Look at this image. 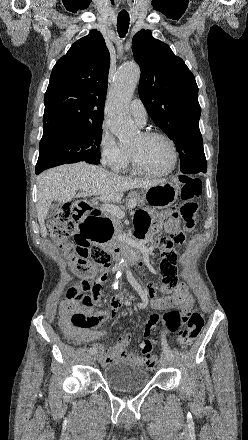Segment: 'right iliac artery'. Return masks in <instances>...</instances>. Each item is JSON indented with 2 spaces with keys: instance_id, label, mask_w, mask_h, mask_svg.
I'll return each instance as SVG.
<instances>
[{
  "instance_id": "1",
  "label": "right iliac artery",
  "mask_w": 248,
  "mask_h": 440,
  "mask_svg": "<svg viewBox=\"0 0 248 440\" xmlns=\"http://www.w3.org/2000/svg\"><path fill=\"white\" fill-rule=\"evenodd\" d=\"M89 353L95 354L97 353V349L95 347L90 348Z\"/></svg>"
}]
</instances>
